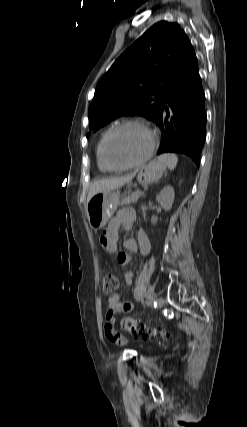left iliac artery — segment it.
<instances>
[{"mask_svg":"<svg viewBox=\"0 0 247 427\" xmlns=\"http://www.w3.org/2000/svg\"><path fill=\"white\" fill-rule=\"evenodd\" d=\"M147 303H148V304H151V303H152V298H151V297H148Z\"/></svg>","mask_w":247,"mask_h":427,"instance_id":"obj_1","label":"left iliac artery"}]
</instances>
